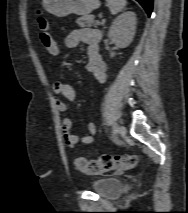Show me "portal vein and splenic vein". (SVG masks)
<instances>
[{"mask_svg":"<svg viewBox=\"0 0 188 213\" xmlns=\"http://www.w3.org/2000/svg\"><path fill=\"white\" fill-rule=\"evenodd\" d=\"M96 23H97V25H100V21L99 20H97Z\"/></svg>","mask_w":188,"mask_h":213,"instance_id":"portal-vein-and-splenic-vein-1","label":"portal vein and splenic vein"}]
</instances>
